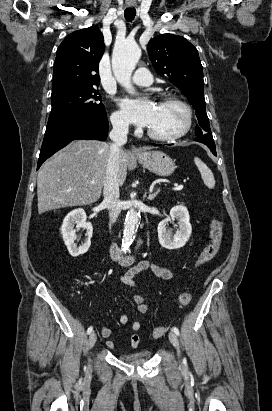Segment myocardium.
I'll use <instances>...</instances> for the list:
<instances>
[{
	"instance_id": "f54148a6",
	"label": "myocardium",
	"mask_w": 272,
	"mask_h": 411,
	"mask_svg": "<svg viewBox=\"0 0 272 411\" xmlns=\"http://www.w3.org/2000/svg\"><path fill=\"white\" fill-rule=\"evenodd\" d=\"M161 103H174L179 105L180 107L183 108V110L186 113V123L184 125V127L182 128L181 131H179L176 134L173 135H159L156 134L155 132H153L150 128L147 129V134L150 138L157 140V141H162V142H172V141H176L178 139H181L182 137H184L192 128L193 125V111L192 108L190 107V105L182 100L181 98H178L176 96H172V95H166L163 96L161 99Z\"/></svg>"
}]
</instances>
